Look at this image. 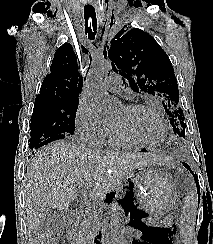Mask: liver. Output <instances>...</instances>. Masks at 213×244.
I'll list each match as a JSON object with an SVG mask.
<instances>
[{"instance_id": "liver-1", "label": "liver", "mask_w": 213, "mask_h": 244, "mask_svg": "<svg viewBox=\"0 0 213 244\" xmlns=\"http://www.w3.org/2000/svg\"><path fill=\"white\" fill-rule=\"evenodd\" d=\"M156 153L93 151L66 141L38 150L26 175L25 210L30 235L51 210L67 212L79 196L77 185L88 182L89 199L101 201L135 169L170 165Z\"/></svg>"}]
</instances>
